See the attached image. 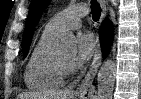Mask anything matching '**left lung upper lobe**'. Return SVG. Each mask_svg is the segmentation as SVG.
Masks as SVG:
<instances>
[{"label":"left lung upper lobe","instance_id":"obj_1","mask_svg":"<svg viewBox=\"0 0 141 99\" xmlns=\"http://www.w3.org/2000/svg\"><path fill=\"white\" fill-rule=\"evenodd\" d=\"M49 1L50 0H32L31 2L22 40L24 56H26L28 53L34 28Z\"/></svg>","mask_w":141,"mask_h":99}]
</instances>
